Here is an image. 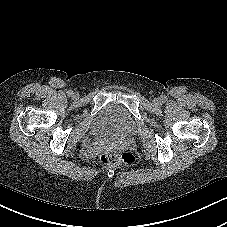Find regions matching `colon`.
Segmentation results:
<instances>
[{
    "instance_id": "5ec220e1",
    "label": "colon",
    "mask_w": 227,
    "mask_h": 227,
    "mask_svg": "<svg viewBox=\"0 0 227 227\" xmlns=\"http://www.w3.org/2000/svg\"><path fill=\"white\" fill-rule=\"evenodd\" d=\"M101 161L107 165H128L134 156L130 152L108 151L101 156Z\"/></svg>"
}]
</instances>
